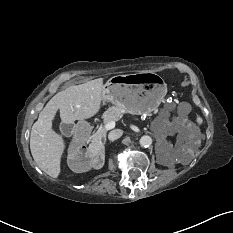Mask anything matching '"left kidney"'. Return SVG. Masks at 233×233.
<instances>
[{
    "mask_svg": "<svg viewBox=\"0 0 233 233\" xmlns=\"http://www.w3.org/2000/svg\"><path fill=\"white\" fill-rule=\"evenodd\" d=\"M183 150H186V147L183 146ZM167 152L169 157L173 160V161H179L180 160V155L176 154L175 152H173L169 146H167Z\"/></svg>",
    "mask_w": 233,
    "mask_h": 233,
    "instance_id": "left-kidney-1",
    "label": "left kidney"
}]
</instances>
